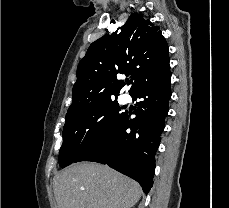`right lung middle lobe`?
Instances as JSON below:
<instances>
[{
	"label": "right lung middle lobe",
	"instance_id": "obj_1",
	"mask_svg": "<svg viewBox=\"0 0 229 208\" xmlns=\"http://www.w3.org/2000/svg\"><path fill=\"white\" fill-rule=\"evenodd\" d=\"M124 113L117 101H102L87 111L66 118L63 144L58 162L63 168L73 163L83 152L114 129Z\"/></svg>",
	"mask_w": 229,
	"mask_h": 208
}]
</instances>
